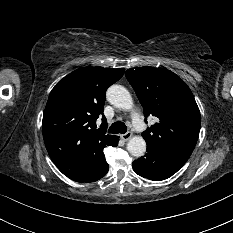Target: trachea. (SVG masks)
I'll return each mask as SVG.
<instances>
[{
    "label": "trachea",
    "instance_id": "trachea-1",
    "mask_svg": "<svg viewBox=\"0 0 233 233\" xmlns=\"http://www.w3.org/2000/svg\"><path fill=\"white\" fill-rule=\"evenodd\" d=\"M108 132L112 134H125L127 132V126L123 122L117 121L109 127Z\"/></svg>",
    "mask_w": 233,
    "mask_h": 233
}]
</instances>
